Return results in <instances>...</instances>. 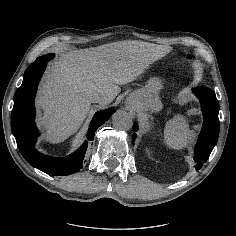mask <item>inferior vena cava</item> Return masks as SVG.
I'll list each match as a JSON object with an SVG mask.
<instances>
[{
    "mask_svg": "<svg viewBox=\"0 0 236 236\" xmlns=\"http://www.w3.org/2000/svg\"><path fill=\"white\" fill-rule=\"evenodd\" d=\"M94 102L96 103H99L101 105H105L107 103H109L111 101V98L103 95V94H97L94 99H93Z\"/></svg>",
    "mask_w": 236,
    "mask_h": 236,
    "instance_id": "obj_1",
    "label": "inferior vena cava"
}]
</instances>
